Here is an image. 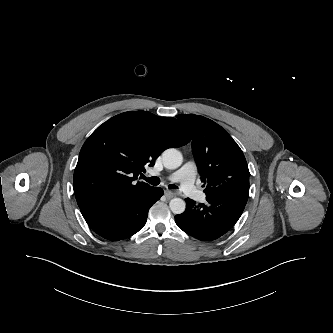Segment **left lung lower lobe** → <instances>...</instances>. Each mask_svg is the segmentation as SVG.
Masks as SVG:
<instances>
[{"label":"left lung lower lobe","instance_id":"0a47b994","mask_svg":"<svg viewBox=\"0 0 333 333\" xmlns=\"http://www.w3.org/2000/svg\"><path fill=\"white\" fill-rule=\"evenodd\" d=\"M248 196L249 178L224 183L206 193V204L196 205L195 201L185 199L186 210L175 216V222L194 238L204 241L217 239L238 221Z\"/></svg>","mask_w":333,"mask_h":333}]
</instances>
